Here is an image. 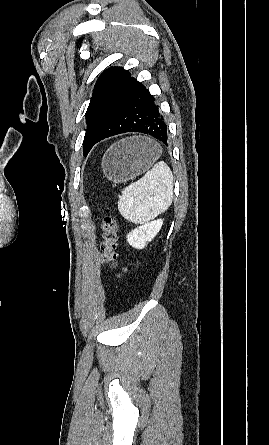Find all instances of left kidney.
I'll list each match as a JSON object with an SVG mask.
<instances>
[{
	"instance_id": "1",
	"label": "left kidney",
	"mask_w": 269,
	"mask_h": 445,
	"mask_svg": "<svg viewBox=\"0 0 269 445\" xmlns=\"http://www.w3.org/2000/svg\"><path fill=\"white\" fill-rule=\"evenodd\" d=\"M162 225V219L143 224L132 230L127 235V241L132 247L136 249H143L147 243L151 242L158 234Z\"/></svg>"
}]
</instances>
